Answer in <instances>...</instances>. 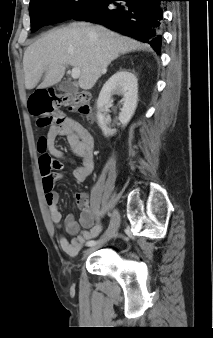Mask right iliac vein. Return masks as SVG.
I'll list each match as a JSON object with an SVG mask.
<instances>
[{
    "label": "right iliac vein",
    "mask_w": 213,
    "mask_h": 338,
    "mask_svg": "<svg viewBox=\"0 0 213 338\" xmlns=\"http://www.w3.org/2000/svg\"><path fill=\"white\" fill-rule=\"evenodd\" d=\"M119 224H120V214L117 210H113L112 215H111V219H110V223H109L108 229L106 230L105 234L102 236L101 240L97 243V245L91 246L87 250L86 253L88 254V253L94 251L99 246H102L104 243H106L110 238H112V236L117 231Z\"/></svg>",
    "instance_id": "63e3f726"
}]
</instances>
